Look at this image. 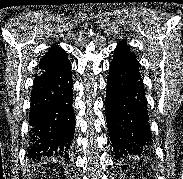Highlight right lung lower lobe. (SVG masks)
I'll return each instance as SVG.
<instances>
[{
    "label": "right lung lower lobe",
    "instance_id": "right-lung-lower-lobe-1",
    "mask_svg": "<svg viewBox=\"0 0 183 179\" xmlns=\"http://www.w3.org/2000/svg\"><path fill=\"white\" fill-rule=\"evenodd\" d=\"M71 64L38 70L31 92L27 156L69 158L75 132Z\"/></svg>",
    "mask_w": 183,
    "mask_h": 179
}]
</instances>
